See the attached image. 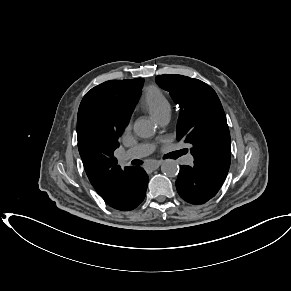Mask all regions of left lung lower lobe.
Instances as JSON below:
<instances>
[{"label": "left lung lower lobe", "mask_w": 291, "mask_h": 291, "mask_svg": "<svg viewBox=\"0 0 291 291\" xmlns=\"http://www.w3.org/2000/svg\"><path fill=\"white\" fill-rule=\"evenodd\" d=\"M225 178L194 162L193 166L182 165L176 180L180 197L190 204H204L213 198Z\"/></svg>", "instance_id": "1"}]
</instances>
